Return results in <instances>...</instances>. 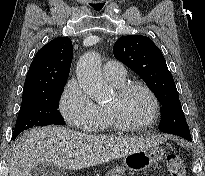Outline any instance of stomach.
I'll return each instance as SVG.
<instances>
[{"label": "stomach", "instance_id": "1", "mask_svg": "<svg viewBox=\"0 0 205 176\" xmlns=\"http://www.w3.org/2000/svg\"><path fill=\"white\" fill-rule=\"evenodd\" d=\"M164 153V149L157 146L129 153L123 159L124 170L143 171L160 161ZM122 171L123 169L113 170L108 173V176H120Z\"/></svg>", "mask_w": 205, "mask_h": 176}]
</instances>
